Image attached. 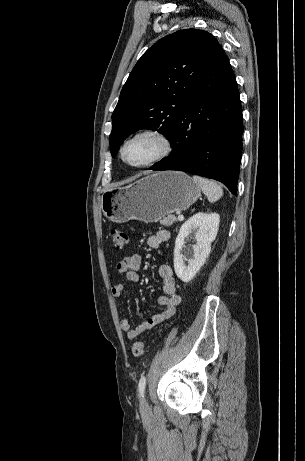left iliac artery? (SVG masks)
<instances>
[{"label": "left iliac artery", "instance_id": "left-iliac-artery-1", "mask_svg": "<svg viewBox=\"0 0 305 461\" xmlns=\"http://www.w3.org/2000/svg\"><path fill=\"white\" fill-rule=\"evenodd\" d=\"M145 386H146V377L142 376L138 384V392H139L140 397H144Z\"/></svg>", "mask_w": 305, "mask_h": 461}]
</instances>
